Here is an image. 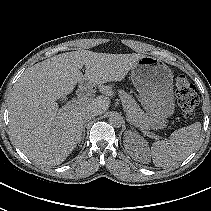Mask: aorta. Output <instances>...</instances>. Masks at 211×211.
Instances as JSON below:
<instances>
[{"label": "aorta", "mask_w": 211, "mask_h": 211, "mask_svg": "<svg viewBox=\"0 0 211 211\" xmlns=\"http://www.w3.org/2000/svg\"><path fill=\"white\" fill-rule=\"evenodd\" d=\"M109 122L111 125L115 127H120L123 123L122 117L119 114H112L109 118Z\"/></svg>", "instance_id": "aorta-1"}]
</instances>
